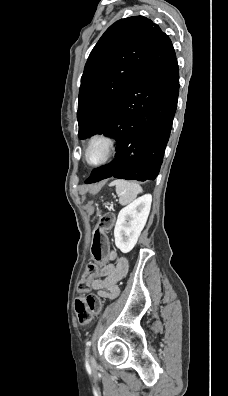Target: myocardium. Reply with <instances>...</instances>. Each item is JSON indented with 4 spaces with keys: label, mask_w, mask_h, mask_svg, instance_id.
Segmentation results:
<instances>
[{
    "label": "myocardium",
    "mask_w": 228,
    "mask_h": 396,
    "mask_svg": "<svg viewBox=\"0 0 228 396\" xmlns=\"http://www.w3.org/2000/svg\"><path fill=\"white\" fill-rule=\"evenodd\" d=\"M95 143H102L105 147L104 156L98 161H92L89 158L90 149ZM115 147H116L115 140L106 133H97L91 136L87 142L84 153L86 163L93 167H99L107 164L114 156Z\"/></svg>",
    "instance_id": "f54148a6"
}]
</instances>
